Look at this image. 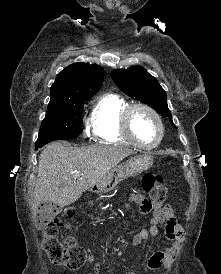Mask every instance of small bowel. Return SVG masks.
Wrapping results in <instances>:
<instances>
[{"label":"small bowel","instance_id":"1","mask_svg":"<svg viewBox=\"0 0 221 274\" xmlns=\"http://www.w3.org/2000/svg\"><path fill=\"white\" fill-rule=\"evenodd\" d=\"M129 200L139 205L140 212L145 215L152 213V218L148 227L138 231L132 240L134 245L141 244L145 239L156 236L159 232L158 226L165 224V237L171 244L161 251L153 253L147 262L148 268L151 270L160 269L163 266H169L176 258L179 252L180 243L183 236V229L179 224L172 208L170 206H163L161 203L153 202L139 193H131ZM128 207V205H126ZM94 260L93 256L89 254V261ZM98 274L96 269L94 273ZM125 274H136L133 271H126Z\"/></svg>","mask_w":221,"mask_h":274}]
</instances>
